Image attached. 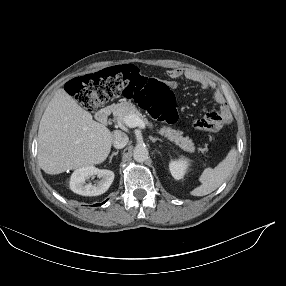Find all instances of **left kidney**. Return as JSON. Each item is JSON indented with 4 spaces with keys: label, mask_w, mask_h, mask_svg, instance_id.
Segmentation results:
<instances>
[{
    "label": "left kidney",
    "mask_w": 286,
    "mask_h": 286,
    "mask_svg": "<svg viewBox=\"0 0 286 286\" xmlns=\"http://www.w3.org/2000/svg\"><path fill=\"white\" fill-rule=\"evenodd\" d=\"M187 167L188 161L183 158L176 161H171L169 164L170 172L176 180H180L183 178Z\"/></svg>",
    "instance_id": "left-kidney-1"
}]
</instances>
